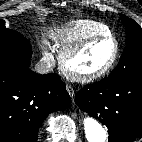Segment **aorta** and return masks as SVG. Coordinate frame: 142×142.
Segmentation results:
<instances>
[{
  "mask_svg": "<svg viewBox=\"0 0 142 142\" xmlns=\"http://www.w3.org/2000/svg\"><path fill=\"white\" fill-rule=\"evenodd\" d=\"M85 135L88 142H105L107 132L93 117L86 116L83 120Z\"/></svg>",
  "mask_w": 142,
  "mask_h": 142,
  "instance_id": "obj_1",
  "label": "aorta"
}]
</instances>
